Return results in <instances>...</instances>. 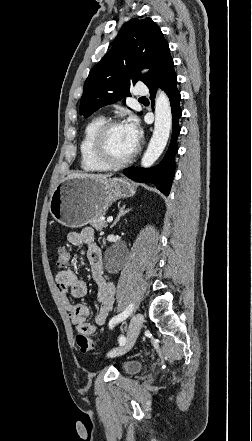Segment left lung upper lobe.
Here are the masks:
<instances>
[{
  "label": "left lung upper lobe",
  "mask_w": 252,
  "mask_h": 441,
  "mask_svg": "<svg viewBox=\"0 0 252 441\" xmlns=\"http://www.w3.org/2000/svg\"><path fill=\"white\" fill-rule=\"evenodd\" d=\"M167 46L160 28L151 18L125 23L111 50L91 69L85 81L80 114L88 117L100 107L130 95V87L139 79L149 84ZM143 67L150 68L151 74L141 76L139 71Z\"/></svg>",
  "instance_id": "obj_1"
}]
</instances>
